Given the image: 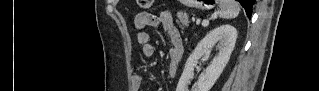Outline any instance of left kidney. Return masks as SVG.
Listing matches in <instances>:
<instances>
[{"label": "left kidney", "instance_id": "1", "mask_svg": "<svg viewBox=\"0 0 319 91\" xmlns=\"http://www.w3.org/2000/svg\"><path fill=\"white\" fill-rule=\"evenodd\" d=\"M236 39V28L228 24L221 25L207 33L187 59L176 91H209L228 63ZM216 44L219 49L218 54L207 66L204 75L189 90L188 85L194 76L193 71L196 63L201 57L209 55Z\"/></svg>", "mask_w": 319, "mask_h": 91}]
</instances>
